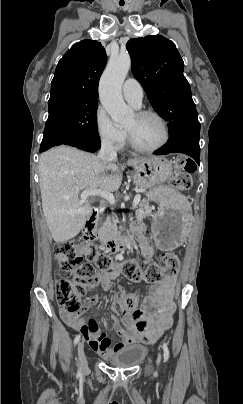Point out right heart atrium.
<instances>
[{"label":"right heart atrium","instance_id":"obj_1","mask_svg":"<svg viewBox=\"0 0 243 404\" xmlns=\"http://www.w3.org/2000/svg\"><path fill=\"white\" fill-rule=\"evenodd\" d=\"M94 126L99 142L115 151H121L128 140L125 130L117 127L108 112L99 104L94 112Z\"/></svg>","mask_w":243,"mask_h":404}]
</instances>
